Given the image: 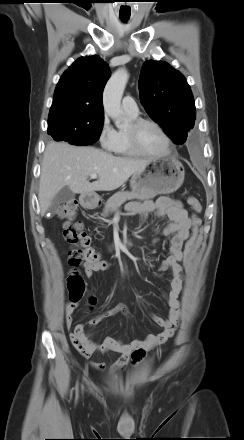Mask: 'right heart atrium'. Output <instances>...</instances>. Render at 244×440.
<instances>
[{
    "label": "right heart atrium",
    "instance_id": "right-heart-atrium-1",
    "mask_svg": "<svg viewBox=\"0 0 244 440\" xmlns=\"http://www.w3.org/2000/svg\"><path fill=\"white\" fill-rule=\"evenodd\" d=\"M116 131L110 124L109 119L105 116L102 120L98 140L102 148L111 150L115 142Z\"/></svg>",
    "mask_w": 244,
    "mask_h": 440
}]
</instances>
